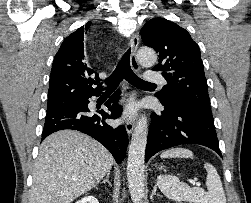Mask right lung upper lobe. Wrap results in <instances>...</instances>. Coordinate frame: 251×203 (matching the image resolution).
Listing matches in <instances>:
<instances>
[{"mask_svg": "<svg viewBox=\"0 0 251 203\" xmlns=\"http://www.w3.org/2000/svg\"><path fill=\"white\" fill-rule=\"evenodd\" d=\"M91 23L70 34L55 55L50 74L47 111L81 100L87 95L102 91L98 74L89 68L84 55V35ZM95 74V79L92 75Z\"/></svg>", "mask_w": 251, "mask_h": 203, "instance_id": "right-lung-upper-lobe-1", "label": "right lung upper lobe"}]
</instances>
